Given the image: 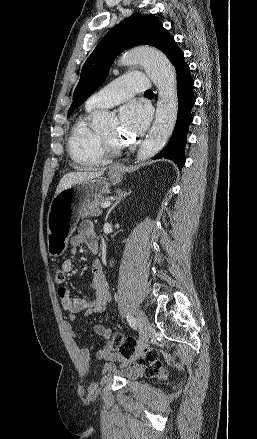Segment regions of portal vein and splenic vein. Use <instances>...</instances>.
Masks as SVG:
<instances>
[{
  "instance_id": "1",
  "label": "portal vein and splenic vein",
  "mask_w": 257,
  "mask_h": 439,
  "mask_svg": "<svg viewBox=\"0 0 257 439\" xmlns=\"http://www.w3.org/2000/svg\"><path fill=\"white\" fill-rule=\"evenodd\" d=\"M110 205H111V201H105V202L101 203V207H102V208H107V207H109Z\"/></svg>"
}]
</instances>
